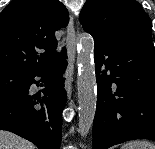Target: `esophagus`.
I'll use <instances>...</instances> for the list:
<instances>
[{
    "label": "esophagus",
    "instance_id": "obj_1",
    "mask_svg": "<svg viewBox=\"0 0 155 149\" xmlns=\"http://www.w3.org/2000/svg\"><path fill=\"white\" fill-rule=\"evenodd\" d=\"M76 33L75 27L73 22V16H69V23L67 26V54H68V66L65 75V89L67 91L68 97H71V82H72V75L74 71V64H75V56H76Z\"/></svg>",
    "mask_w": 155,
    "mask_h": 149
}]
</instances>
